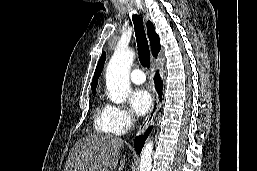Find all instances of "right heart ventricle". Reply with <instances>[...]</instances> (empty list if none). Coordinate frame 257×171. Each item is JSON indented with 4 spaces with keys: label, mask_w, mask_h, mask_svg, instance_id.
Here are the masks:
<instances>
[{
    "label": "right heart ventricle",
    "mask_w": 257,
    "mask_h": 171,
    "mask_svg": "<svg viewBox=\"0 0 257 171\" xmlns=\"http://www.w3.org/2000/svg\"><path fill=\"white\" fill-rule=\"evenodd\" d=\"M94 128L97 132L108 134V135H117L121 133L112 120V116L109 110V106L105 105L102 102L97 104L95 114H94Z\"/></svg>",
    "instance_id": "1"
}]
</instances>
